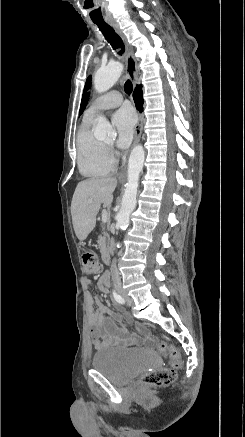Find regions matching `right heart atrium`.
Returning <instances> with one entry per match:
<instances>
[{
	"instance_id": "obj_1",
	"label": "right heart atrium",
	"mask_w": 245,
	"mask_h": 437,
	"mask_svg": "<svg viewBox=\"0 0 245 437\" xmlns=\"http://www.w3.org/2000/svg\"><path fill=\"white\" fill-rule=\"evenodd\" d=\"M108 155H109L110 159L115 162V155H114V152L112 150H108Z\"/></svg>"
}]
</instances>
